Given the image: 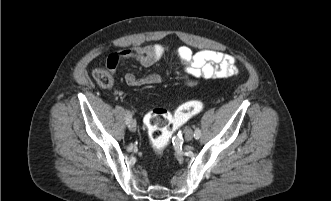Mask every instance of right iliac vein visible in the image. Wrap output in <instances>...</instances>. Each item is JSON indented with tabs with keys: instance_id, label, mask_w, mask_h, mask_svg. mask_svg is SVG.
I'll return each mask as SVG.
<instances>
[{
	"instance_id": "right-iliac-vein-1",
	"label": "right iliac vein",
	"mask_w": 331,
	"mask_h": 201,
	"mask_svg": "<svg viewBox=\"0 0 331 201\" xmlns=\"http://www.w3.org/2000/svg\"><path fill=\"white\" fill-rule=\"evenodd\" d=\"M129 129L132 132H135L137 130V123L135 120H131L129 123Z\"/></svg>"
}]
</instances>
